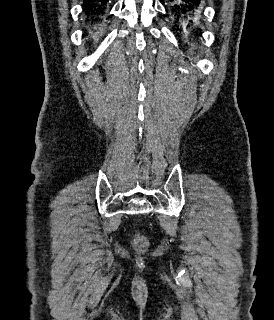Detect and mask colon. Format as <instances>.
<instances>
[{"instance_id":"5ec220e1","label":"colon","mask_w":274,"mask_h":320,"mask_svg":"<svg viewBox=\"0 0 274 320\" xmlns=\"http://www.w3.org/2000/svg\"><path fill=\"white\" fill-rule=\"evenodd\" d=\"M147 240L143 236H138L133 245L139 251H144L147 247Z\"/></svg>"}]
</instances>
